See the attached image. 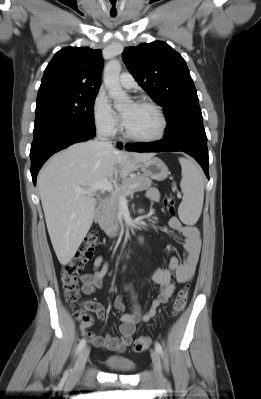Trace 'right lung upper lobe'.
Returning <instances> with one entry per match:
<instances>
[{"mask_svg":"<svg viewBox=\"0 0 261 399\" xmlns=\"http://www.w3.org/2000/svg\"><path fill=\"white\" fill-rule=\"evenodd\" d=\"M101 69V50L65 47L46 67L37 97L59 93L97 94Z\"/></svg>","mask_w":261,"mask_h":399,"instance_id":"obj_1","label":"right lung upper lobe"}]
</instances>
